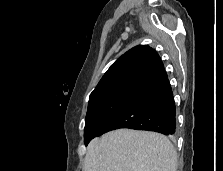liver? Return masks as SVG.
<instances>
[{
	"label": "liver",
	"instance_id": "liver-1",
	"mask_svg": "<svg viewBox=\"0 0 223 171\" xmlns=\"http://www.w3.org/2000/svg\"><path fill=\"white\" fill-rule=\"evenodd\" d=\"M177 154L159 133L118 129L87 146L84 171H176Z\"/></svg>",
	"mask_w": 223,
	"mask_h": 171
}]
</instances>
